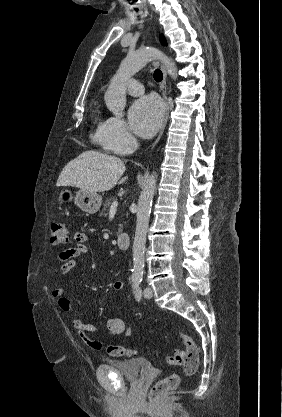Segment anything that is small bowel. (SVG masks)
I'll use <instances>...</instances> for the list:
<instances>
[{
    "label": "small bowel",
    "mask_w": 282,
    "mask_h": 417,
    "mask_svg": "<svg viewBox=\"0 0 282 417\" xmlns=\"http://www.w3.org/2000/svg\"><path fill=\"white\" fill-rule=\"evenodd\" d=\"M74 247L64 251L60 255L62 264L59 266V273L61 275L68 274L77 266V258L83 256L87 252L88 234L83 231H77L74 235ZM124 289V282L116 280L112 283V290L120 292ZM51 296L56 300L58 307L64 311L69 312L72 308L71 301L66 297L63 288H55L51 292ZM72 326L79 338L95 351H100L106 348V345L98 340H93L89 337V333L97 332L98 327L94 324H85L80 319H74ZM106 327L110 335L122 334L124 337H129L132 334V329L126 326L125 322L119 318H112L106 322Z\"/></svg>",
    "instance_id": "1"
}]
</instances>
